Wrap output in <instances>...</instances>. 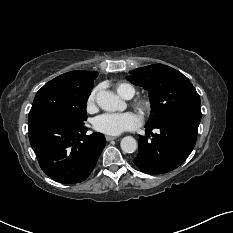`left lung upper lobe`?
<instances>
[{
  "instance_id": "5c2ea615",
  "label": "left lung upper lobe",
  "mask_w": 233,
  "mask_h": 233,
  "mask_svg": "<svg viewBox=\"0 0 233 233\" xmlns=\"http://www.w3.org/2000/svg\"><path fill=\"white\" fill-rule=\"evenodd\" d=\"M127 80L149 92L152 109L147 124L172 116H202L195 88L186 76L169 66L153 64L137 68Z\"/></svg>"
}]
</instances>
